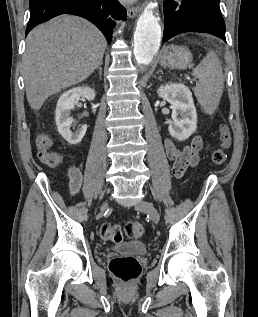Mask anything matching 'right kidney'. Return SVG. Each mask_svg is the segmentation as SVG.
Returning <instances> with one entry per match:
<instances>
[{
    "label": "right kidney",
    "mask_w": 258,
    "mask_h": 317,
    "mask_svg": "<svg viewBox=\"0 0 258 317\" xmlns=\"http://www.w3.org/2000/svg\"><path fill=\"white\" fill-rule=\"evenodd\" d=\"M80 96H85L87 100H94L96 92L90 86H75V88H70V90L63 92L57 100L55 120L58 132L70 144L81 142L87 130V124H82L81 128H76V130H70L74 120L73 116H70V110L77 104Z\"/></svg>",
    "instance_id": "ca27d5eb"
}]
</instances>
